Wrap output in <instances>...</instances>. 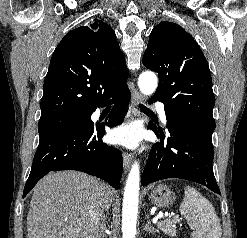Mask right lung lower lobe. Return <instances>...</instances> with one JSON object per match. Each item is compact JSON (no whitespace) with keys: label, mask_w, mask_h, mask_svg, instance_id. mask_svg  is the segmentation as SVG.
I'll list each match as a JSON object with an SVG mask.
<instances>
[{"label":"right lung lower lobe","mask_w":247,"mask_h":238,"mask_svg":"<svg viewBox=\"0 0 247 238\" xmlns=\"http://www.w3.org/2000/svg\"><path fill=\"white\" fill-rule=\"evenodd\" d=\"M129 101L130 92L126 85L111 99L99 105L104 107L109 102L116 103L105 124L110 127L121 124ZM94 111L87 112L90 119ZM104 134V124L90 121L86 125L72 126L40 140L23 197L50 171L67 169L97 176L118 189L123 169L122 154L118 149L103 143Z\"/></svg>","instance_id":"98d812e1"}]
</instances>
